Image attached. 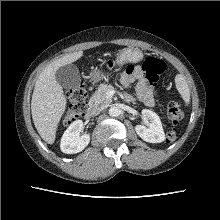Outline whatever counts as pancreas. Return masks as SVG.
<instances>
[{
	"mask_svg": "<svg viewBox=\"0 0 220 220\" xmlns=\"http://www.w3.org/2000/svg\"><path fill=\"white\" fill-rule=\"evenodd\" d=\"M113 89L110 84H100L96 92L90 98V105L95 108H106L112 102L111 98L106 96V93Z\"/></svg>",
	"mask_w": 220,
	"mask_h": 220,
	"instance_id": "pancreas-1",
	"label": "pancreas"
}]
</instances>
